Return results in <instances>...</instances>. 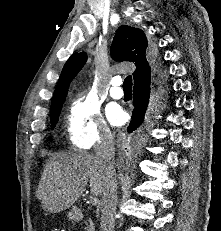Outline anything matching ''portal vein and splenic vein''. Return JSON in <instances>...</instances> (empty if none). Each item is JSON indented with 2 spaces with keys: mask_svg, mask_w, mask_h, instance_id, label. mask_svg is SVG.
Returning <instances> with one entry per match:
<instances>
[{
  "mask_svg": "<svg viewBox=\"0 0 221 231\" xmlns=\"http://www.w3.org/2000/svg\"><path fill=\"white\" fill-rule=\"evenodd\" d=\"M98 202H99V200H98L97 197H94V198L91 199V204H92V205H97Z\"/></svg>",
  "mask_w": 221,
  "mask_h": 231,
  "instance_id": "portal-vein-and-splenic-vein-1",
  "label": "portal vein and splenic vein"
}]
</instances>
